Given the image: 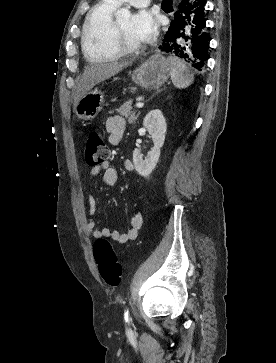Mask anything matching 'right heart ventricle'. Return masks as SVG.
Returning a JSON list of instances; mask_svg holds the SVG:
<instances>
[{"mask_svg": "<svg viewBox=\"0 0 276 363\" xmlns=\"http://www.w3.org/2000/svg\"><path fill=\"white\" fill-rule=\"evenodd\" d=\"M117 3L101 0L88 14L82 35V49L85 57L94 63L108 62L120 55L111 41V28Z\"/></svg>", "mask_w": 276, "mask_h": 363, "instance_id": "e07e8e85", "label": "right heart ventricle"}]
</instances>
